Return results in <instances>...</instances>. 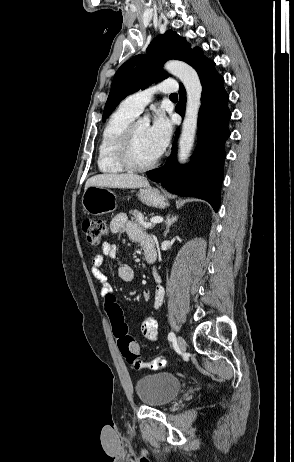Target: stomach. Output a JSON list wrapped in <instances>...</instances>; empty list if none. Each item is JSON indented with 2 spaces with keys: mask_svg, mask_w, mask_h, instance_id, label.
Wrapping results in <instances>:
<instances>
[{
  "mask_svg": "<svg viewBox=\"0 0 294 462\" xmlns=\"http://www.w3.org/2000/svg\"><path fill=\"white\" fill-rule=\"evenodd\" d=\"M138 198L144 204L156 208H166L169 205L167 199L158 189L149 186L139 190ZM82 205L88 214L95 216L114 212L117 209L115 194L100 186H90L85 189Z\"/></svg>",
  "mask_w": 294,
  "mask_h": 462,
  "instance_id": "obj_1",
  "label": "stomach"
}]
</instances>
